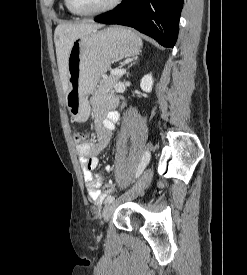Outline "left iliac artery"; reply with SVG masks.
<instances>
[{
	"label": "left iliac artery",
	"instance_id": "44dca946",
	"mask_svg": "<svg viewBox=\"0 0 247 275\" xmlns=\"http://www.w3.org/2000/svg\"><path fill=\"white\" fill-rule=\"evenodd\" d=\"M150 152L147 150L144 152L143 156H142V159H141V162L137 168V171H136V174H135V178H138L143 170L145 169V167L147 166V164L149 163L150 161ZM114 196L113 195H110L106 198V202L109 203V202H112L114 200Z\"/></svg>",
	"mask_w": 247,
	"mask_h": 275
}]
</instances>
